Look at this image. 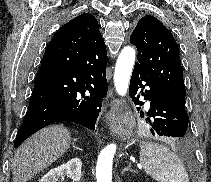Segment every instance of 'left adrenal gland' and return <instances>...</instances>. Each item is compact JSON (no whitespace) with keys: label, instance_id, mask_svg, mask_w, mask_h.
<instances>
[{"label":"left adrenal gland","instance_id":"1","mask_svg":"<svg viewBox=\"0 0 211 182\" xmlns=\"http://www.w3.org/2000/svg\"><path fill=\"white\" fill-rule=\"evenodd\" d=\"M127 171H130V172H133V173L136 172L134 169L131 168V163L130 162L128 163V166L123 169L122 174L127 172Z\"/></svg>","mask_w":211,"mask_h":182}]
</instances>
